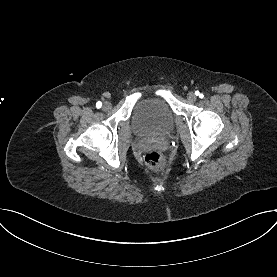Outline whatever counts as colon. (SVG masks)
<instances>
[{
    "label": "colon",
    "mask_w": 277,
    "mask_h": 277,
    "mask_svg": "<svg viewBox=\"0 0 277 277\" xmlns=\"http://www.w3.org/2000/svg\"><path fill=\"white\" fill-rule=\"evenodd\" d=\"M145 163L153 169L162 170L167 165L166 157L159 151H150L144 156Z\"/></svg>",
    "instance_id": "1"
}]
</instances>
